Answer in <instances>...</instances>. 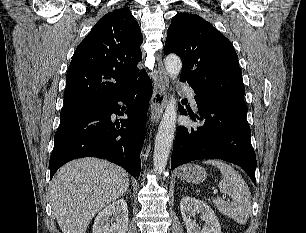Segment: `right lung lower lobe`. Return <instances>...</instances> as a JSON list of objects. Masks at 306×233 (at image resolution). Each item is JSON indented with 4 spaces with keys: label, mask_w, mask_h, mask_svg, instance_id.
Returning a JSON list of instances; mask_svg holds the SVG:
<instances>
[{
    "label": "right lung lower lobe",
    "mask_w": 306,
    "mask_h": 233,
    "mask_svg": "<svg viewBox=\"0 0 306 233\" xmlns=\"http://www.w3.org/2000/svg\"><path fill=\"white\" fill-rule=\"evenodd\" d=\"M151 94L152 83L145 74L110 102L60 116L50 156V179L62 165L82 157L107 159L138 178ZM119 101L127 105V119L120 122L111 119L114 113L122 114Z\"/></svg>",
    "instance_id": "obj_1"
}]
</instances>
